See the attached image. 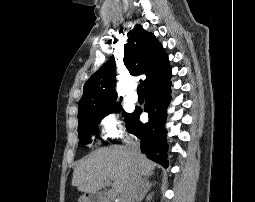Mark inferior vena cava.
Masks as SVG:
<instances>
[{
	"instance_id": "obj_1",
	"label": "inferior vena cava",
	"mask_w": 255,
	"mask_h": 202,
	"mask_svg": "<svg viewBox=\"0 0 255 202\" xmlns=\"http://www.w3.org/2000/svg\"><path fill=\"white\" fill-rule=\"evenodd\" d=\"M128 149L133 157H137L140 154V143L136 139L128 138ZM146 186L141 175L134 171L131 178L127 182L124 190L120 196V202H135L140 198H143L145 194Z\"/></svg>"
}]
</instances>
